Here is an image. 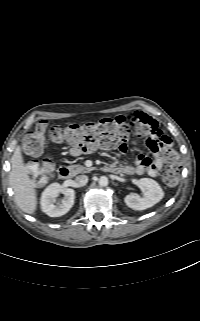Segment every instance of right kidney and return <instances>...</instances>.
I'll return each instance as SVG.
<instances>
[{"label":"right kidney","mask_w":200,"mask_h":321,"mask_svg":"<svg viewBox=\"0 0 200 321\" xmlns=\"http://www.w3.org/2000/svg\"><path fill=\"white\" fill-rule=\"evenodd\" d=\"M62 193L64 197L55 204V198ZM75 191L71 188H64L59 183L50 184L42 193L41 209L50 217H60L66 214L74 204Z\"/></svg>","instance_id":"right-kidney-1"}]
</instances>
